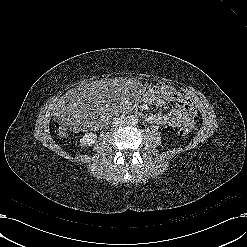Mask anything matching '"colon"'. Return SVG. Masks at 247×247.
Masks as SVG:
<instances>
[{
    "label": "colon",
    "mask_w": 247,
    "mask_h": 247,
    "mask_svg": "<svg viewBox=\"0 0 247 247\" xmlns=\"http://www.w3.org/2000/svg\"><path fill=\"white\" fill-rule=\"evenodd\" d=\"M147 92L150 95V97H152L154 99H158V98L162 97V95L164 93V90H163L162 86L159 83L152 82V83H150L148 85ZM55 128H56V133L60 137H65V136L68 135L69 130L67 128L66 123H64L63 121L62 122H57L55 124ZM191 129H192V127L189 126V125L183 126L180 129L179 134L180 135H186V134H188L190 132Z\"/></svg>",
    "instance_id": "obj_1"
}]
</instances>
